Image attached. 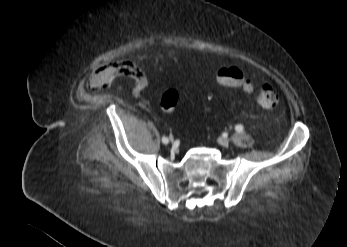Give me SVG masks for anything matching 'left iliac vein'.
I'll list each match as a JSON object with an SVG mask.
<instances>
[{"instance_id": "obj_1", "label": "left iliac vein", "mask_w": 347, "mask_h": 247, "mask_svg": "<svg viewBox=\"0 0 347 247\" xmlns=\"http://www.w3.org/2000/svg\"><path fill=\"white\" fill-rule=\"evenodd\" d=\"M218 143L221 145V146H228L229 145V139L228 138H225V137H220L218 139Z\"/></svg>"}]
</instances>
